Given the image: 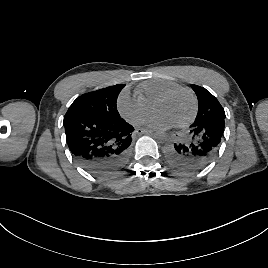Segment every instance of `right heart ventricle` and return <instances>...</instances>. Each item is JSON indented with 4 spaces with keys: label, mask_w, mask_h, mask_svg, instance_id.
I'll return each instance as SVG.
<instances>
[{
    "label": "right heart ventricle",
    "mask_w": 268,
    "mask_h": 268,
    "mask_svg": "<svg viewBox=\"0 0 268 268\" xmlns=\"http://www.w3.org/2000/svg\"><path fill=\"white\" fill-rule=\"evenodd\" d=\"M178 86L179 84L172 79L154 78L139 84L135 89V94L150 107H153L163 94Z\"/></svg>",
    "instance_id": "e07e8e85"
}]
</instances>
